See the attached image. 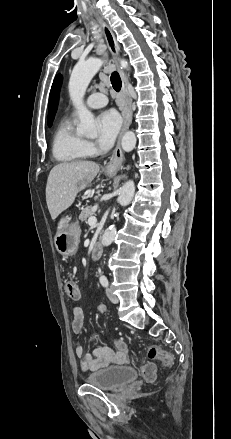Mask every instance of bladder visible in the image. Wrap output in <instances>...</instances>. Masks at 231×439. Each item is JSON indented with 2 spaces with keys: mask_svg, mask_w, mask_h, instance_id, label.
Instances as JSON below:
<instances>
[{
  "mask_svg": "<svg viewBox=\"0 0 231 439\" xmlns=\"http://www.w3.org/2000/svg\"><path fill=\"white\" fill-rule=\"evenodd\" d=\"M137 377V372L130 366H111L86 376L85 381L104 390H117Z\"/></svg>",
  "mask_w": 231,
  "mask_h": 439,
  "instance_id": "31cf9c89",
  "label": "bladder"
}]
</instances>
